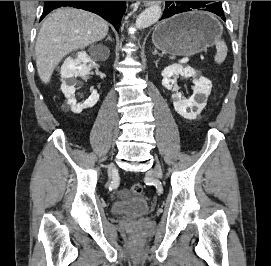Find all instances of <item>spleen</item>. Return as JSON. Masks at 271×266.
<instances>
[{"label":"spleen","instance_id":"spleen-1","mask_svg":"<svg viewBox=\"0 0 271 266\" xmlns=\"http://www.w3.org/2000/svg\"><path fill=\"white\" fill-rule=\"evenodd\" d=\"M215 45H216L217 53L214 57V60L217 64H221L227 56L228 49L225 42L219 38L215 40Z\"/></svg>","mask_w":271,"mask_h":266}]
</instances>
